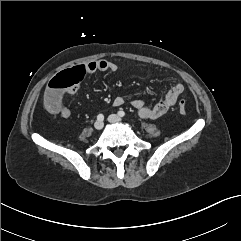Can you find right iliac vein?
<instances>
[{"mask_svg": "<svg viewBox=\"0 0 241 241\" xmlns=\"http://www.w3.org/2000/svg\"><path fill=\"white\" fill-rule=\"evenodd\" d=\"M104 126V123L102 121H96L94 124V127L96 130H101Z\"/></svg>", "mask_w": 241, "mask_h": 241, "instance_id": "63e3f726", "label": "right iliac vein"}]
</instances>
